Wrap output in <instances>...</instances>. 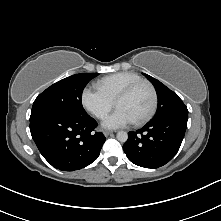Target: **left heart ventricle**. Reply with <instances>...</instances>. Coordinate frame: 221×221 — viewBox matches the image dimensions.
Here are the masks:
<instances>
[{"label": "left heart ventricle", "instance_id": "b2bd125f", "mask_svg": "<svg viewBox=\"0 0 221 221\" xmlns=\"http://www.w3.org/2000/svg\"><path fill=\"white\" fill-rule=\"evenodd\" d=\"M153 96L148 85L138 87L130 96L120 101L117 108L123 109L133 121L144 117L152 106Z\"/></svg>", "mask_w": 221, "mask_h": 221}]
</instances>
